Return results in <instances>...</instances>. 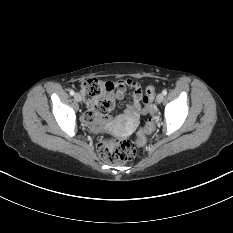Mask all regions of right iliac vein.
Instances as JSON below:
<instances>
[{"label": "right iliac vein", "mask_w": 233, "mask_h": 233, "mask_svg": "<svg viewBox=\"0 0 233 233\" xmlns=\"http://www.w3.org/2000/svg\"><path fill=\"white\" fill-rule=\"evenodd\" d=\"M74 98H75V100L78 101V102H81V101H82V97H81V95H80L79 93H76V94L74 95Z\"/></svg>", "instance_id": "1"}]
</instances>
